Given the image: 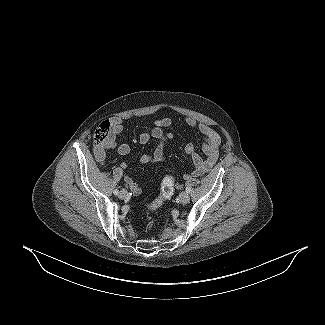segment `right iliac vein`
Returning <instances> with one entry per match:
<instances>
[{
    "label": "right iliac vein",
    "instance_id": "63e3f726",
    "mask_svg": "<svg viewBox=\"0 0 325 325\" xmlns=\"http://www.w3.org/2000/svg\"><path fill=\"white\" fill-rule=\"evenodd\" d=\"M128 196V193L126 190H121L120 193H119V198L121 199H125L126 197Z\"/></svg>",
    "mask_w": 325,
    "mask_h": 325
}]
</instances>
